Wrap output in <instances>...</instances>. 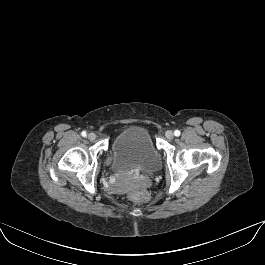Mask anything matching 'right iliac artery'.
Instances as JSON below:
<instances>
[{
	"label": "right iliac artery",
	"instance_id": "obj_1",
	"mask_svg": "<svg viewBox=\"0 0 265 265\" xmlns=\"http://www.w3.org/2000/svg\"><path fill=\"white\" fill-rule=\"evenodd\" d=\"M81 135H82L83 137H86L87 132H86V131H82V132H81Z\"/></svg>",
	"mask_w": 265,
	"mask_h": 265
}]
</instances>
